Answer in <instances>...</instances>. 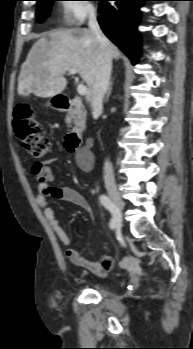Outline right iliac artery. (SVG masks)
I'll return each mask as SVG.
<instances>
[{
    "instance_id": "82829eb1",
    "label": "right iliac artery",
    "mask_w": 193,
    "mask_h": 349,
    "mask_svg": "<svg viewBox=\"0 0 193 349\" xmlns=\"http://www.w3.org/2000/svg\"><path fill=\"white\" fill-rule=\"evenodd\" d=\"M99 200H100V203L111 213L110 228L111 229L115 228L117 215H116V207L114 203L106 195H101Z\"/></svg>"
}]
</instances>
